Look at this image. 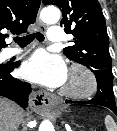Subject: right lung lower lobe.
<instances>
[{"label": "right lung lower lobe", "mask_w": 117, "mask_h": 131, "mask_svg": "<svg viewBox=\"0 0 117 131\" xmlns=\"http://www.w3.org/2000/svg\"><path fill=\"white\" fill-rule=\"evenodd\" d=\"M19 65V61L10 64H0V96L9 98L22 108H26L31 85L10 75L14 68Z\"/></svg>", "instance_id": "1"}]
</instances>
